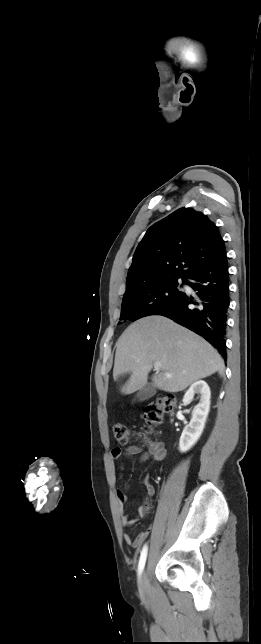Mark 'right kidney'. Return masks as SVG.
<instances>
[{
	"label": "right kidney",
	"mask_w": 261,
	"mask_h": 644,
	"mask_svg": "<svg viewBox=\"0 0 261 644\" xmlns=\"http://www.w3.org/2000/svg\"><path fill=\"white\" fill-rule=\"evenodd\" d=\"M195 394H200V402L192 411V418L188 425L185 426L179 441L180 452H186L200 438L205 422L210 410V388L205 381L199 380L193 383L183 398L184 405H188Z\"/></svg>",
	"instance_id": "right-kidney-1"
}]
</instances>
